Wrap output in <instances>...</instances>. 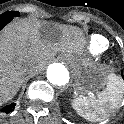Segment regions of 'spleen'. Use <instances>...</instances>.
<instances>
[{"label": "spleen", "mask_w": 124, "mask_h": 124, "mask_svg": "<svg viewBox=\"0 0 124 124\" xmlns=\"http://www.w3.org/2000/svg\"><path fill=\"white\" fill-rule=\"evenodd\" d=\"M118 85L119 82L114 77L112 83H109L97 98H75L72 102L73 108L80 116L91 122L105 120L108 117V111L117 106L121 92Z\"/></svg>", "instance_id": "1"}]
</instances>
